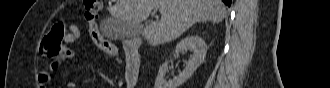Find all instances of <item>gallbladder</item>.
Segmentation results:
<instances>
[{"instance_id": "1", "label": "gallbladder", "mask_w": 330, "mask_h": 88, "mask_svg": "<svg viewBox=\"0 0 330 88\" xmlns=\"http://www.w3.org/2000/svg\"><path fill=\"white\" fill-rule=\"evenodd\" d=\"M103 34L111 40H123L140 34V24H133L122 21H114L103 25Z\"/></svg>"}]
</instances>
